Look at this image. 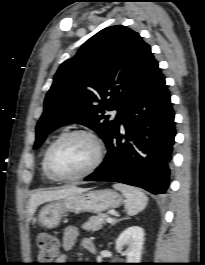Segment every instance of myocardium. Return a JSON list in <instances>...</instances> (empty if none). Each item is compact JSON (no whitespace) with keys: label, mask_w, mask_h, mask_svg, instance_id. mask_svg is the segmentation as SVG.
Returning a JSON list of instances; mask_svg holds the SVG:
<instances>
[{"label":"myocardium","mask_w":205,"mask_h":265,"mask_svg":"<svg viewBox=\"0 0 205 265\" xmlns=\"http://www.w3.org/2000/svg\"><path fill=\"white\" fill-rule=\"evenodd\" d=\"M74 136H83L86 137L88 139H90L96 149V155L94 160L92 161V163L82 172L72 175V176H62L57 174L51 167L50 164V157L51 154L53 152V150L64 140L70 138V137H74ZM104 158V149H103V145L102 142L100 141V139L92 132L87 131V130H83V129H75V130H70L67 131L63 134H61L59 137H57L48 147V149L45 152L44 155V167L47 171V173L54 179L57 181H61V182H72V181H77L80 179H83L89 175H91L93 172H95L99 166L101 165L102 161Z\"/></svg>","instance_id":"myocardium-1"}]
</instances>
